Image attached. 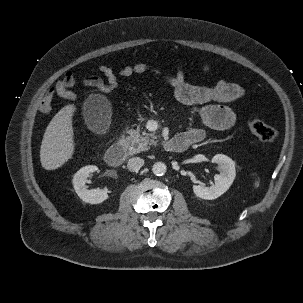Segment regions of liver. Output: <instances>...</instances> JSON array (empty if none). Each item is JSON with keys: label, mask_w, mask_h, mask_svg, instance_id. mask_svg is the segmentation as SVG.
I'll list each match as a JSON object with an SVG mask.
<instances>
[{"label": "liver", "mask_w": 303, "mask_h": 303, "mask_svg": "<svg viewBox=\"0 0 303 303\" xmlns=\"http://www.w3.org/2000/svg\"><path fill=\"white\" fill-rule=\"evenodd\" d=\"M75 112L76 107L68 104L47 126L40 148V161L44 169H58L72 159L75 151L72 117Z\"/></svg>", "instance_id": "1"}]
</instances>
